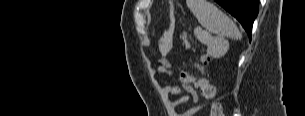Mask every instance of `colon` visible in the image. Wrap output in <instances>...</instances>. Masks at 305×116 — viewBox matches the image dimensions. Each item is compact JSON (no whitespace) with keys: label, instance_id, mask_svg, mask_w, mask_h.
I'll return each instance as SVG.
<instances>
[{"label":"colon","instance_id":"obj_1","mask_svg":"<svg viewBox=\"0 0 305 116\" xmlns=\"http://www.w3.org/2000/svg\"><path fill=\"white\" fill-rule=\"evenodd\" d=\"M172 6H175V1H171ZM208 62L206 56L200 59L197 68L200 71L199 76H192L185 70L180 71V78L186 83H192L201 94L210 101V116H224L223 108L220 101L217 99L215 88L204 77L205 66Z\"/></svg>","mask_w":305,"mask_h":116}]
</instances>
